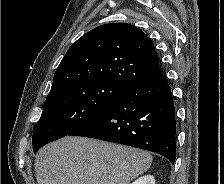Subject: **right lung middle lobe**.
Instances as JSON below:
<instances>
[{"label":"right lung middle lobe","instance_id":"dd1d6c3e","mask_svg":"<svg viewBox=\"0 0 224 184\" xmlns=\"http://www.w3.org/2000/svg\"><path fill=\"white\" fill-rule=\"evenodd\" d=\"M127 88L111 81H86L47 98L41 118L34 126L33 151L94 119Z\"/></svg>","mask_w":224,"mask_h":184}]
</instances>
